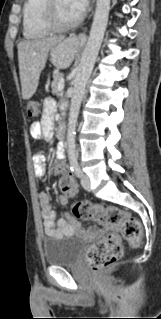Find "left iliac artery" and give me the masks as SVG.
Wrapping results in <instances>:
<instances>
[{"label": "left iliac artery", "mask_w": 161, "mask_h": 319, "mask_svg": "<svg viewBox=\"0 0 161 319\" xmlns=\"http://www.w3.org/2000/svg\"><path fill=\"white\" fill-rule=\"evenodd\" d=\"M71 171L78 177L81 178L83 176L82 170L77 162L72 163Z\"/></svg>", "instance_id": "1"}]
</instances>
